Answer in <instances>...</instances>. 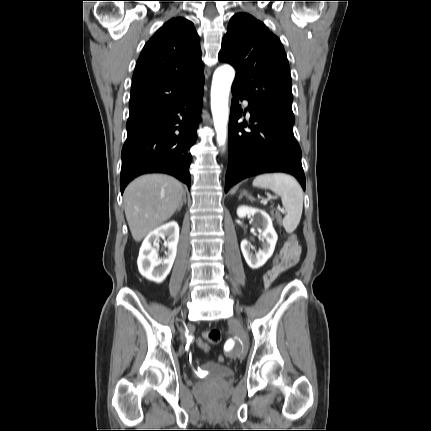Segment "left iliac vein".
Here are the masks:
<instances>
[{
	"mask_svg": "<svg viewBox=\"0 0 431 431\" xmlns=\"http://www.w3.org/2000/svg\"><path fill=\"white\" fill-rule=\"evenodd\" d=\"M231 323L232 324H236V322L235 321H231ZM236 333H237V335L241 338V340H242V343H243V348H242V351H241V353L239 354V359H244L245 358V356H246V354H247V351H248V340H247V335H246V333L243 331V330H241V329H236Z\"/></svg>",
	"mask_w": 431,
	"mask_h": 431,
	"instance_id": "1",
	"label": "left iliac vein"
}]
</instances>
